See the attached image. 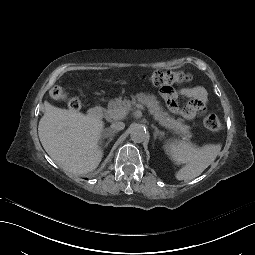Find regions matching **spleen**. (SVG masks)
Here are the masks:
<instances>
[{
  "label": "spleen",
  "mask_w": 255,
  "mask_h": 255,
  "mask_svg": "<svg viewBox=\"0 0 255 255\" xmlns=\"http://www.w3.org/2000/svg\"><path fill=\"white\" fill-rule=\"evenodd\" d=\"M220 150V145L208 144L199 148L186 140L165 145V151L173 161L186 164L176 174L178 180L184 181L199 176L215 160Z\"/></svg>",
  "instance_id": "1"
}]
</instances>
